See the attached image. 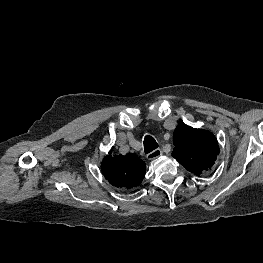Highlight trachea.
Listing matches in <instances>:
<instances>
[{"label":"trachea","mask_w":263,"mask_h":263,"mask_svg":"<svg viewBox=\"0 0 263 263\" xmlns=\"http://www.w3.org/2000/svg\"><path fill=\"white\" fill-rule=\"evenodd\" d=\"M143 144H144V151L146 154L158 148V144L156 140L150 135L145 136Z\"/></svg>","instance_id":"trachea-1"}]
</instances>
